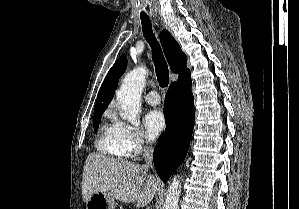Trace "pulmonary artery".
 I'll return each mask as SVG.
<instances>
[{"mask_svg":"<svg viewBox=\"0 0 299 209\" xmlns=\"http://www.w3.org/2000/svg\"><path fill=\"white\" fill-rule=\"evenodd\" d=\"M145 100L151 105H158L161 98L156 90H151L145 95Z\"/></svg>","mask_w":299,"mask_h":209,"instance_id":"e3ab8cb5","label":"pulmonary artery"}]
</instances>
